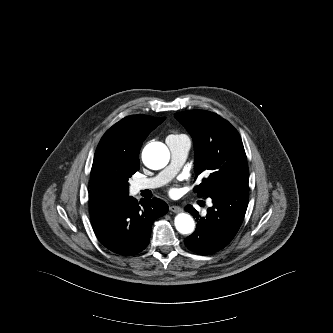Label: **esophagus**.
<instances>
[{
  "label": "esophagus",
  "mask_w": 333,
  "mask_h": 333,
  "mask_svg": "<svg viewBox=\"0 0 333 333\" xmlns=\"http://www.w3.org/2000/svg\"><path fill=\"white\" fill-rule=\"evenodd\" d=\"M169 209H170V211H172L174 213H179V212L183 211V209L180 206H176V205L170 206Z\"/></svg>",
  "instance_id": "obj_1"
}]
</instances>
